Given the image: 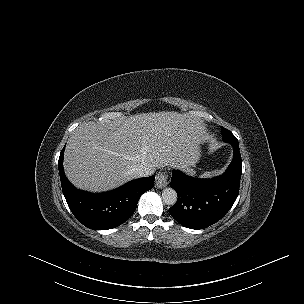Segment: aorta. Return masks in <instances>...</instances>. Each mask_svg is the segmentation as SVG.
Wrapping results in <instances>:
<instances>
[{
	"label": "aorta",
	"instance_id": "obj_1",
	"mask_svg": "<svg viewBox=\"0 0 304 304\" xmlns=\"http://www.w3.org/2000/svg\"><path fill=\"white\" fill-rule=\"evenodd\" d=\"M177 193L173 188H165L162 191V200L166 205H174L177 202Z\"/></svg>",
	"mask_w": 304,
	"mask_h": 304
}]
</instances>
